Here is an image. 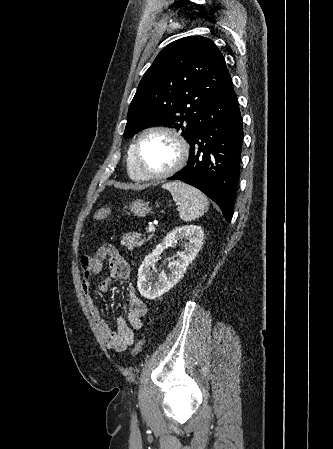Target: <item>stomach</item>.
I'll list each match as a JSON object with an SVG mask.
<instances>
[{
  "mask_svg": "<svg viewBox=\"0 0 333 449\" xmlns=\"http://www.w3.org/2000/svg\"><path fill=\"white\" fill-rule=\"evenodd\" d=\"M130 210L135 216L144 217L150 212L148 203L142 200H136L130 204Z\"/></svg>",
  "mask_w": 333,
  "mask_h": 449,
  "instance_id": "obj_1",
  "label": "stomach"
}]
</instances>
